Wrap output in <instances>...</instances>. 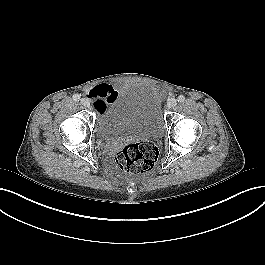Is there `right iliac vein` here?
<instances>
[{
    "label": "right iliac vein",
    "instance_id": "obj_1",
    "mask_svg": "<svg viewBox=\"0 0 265 265\" xmlns=\"http://www.w3.org/2000/svg\"><path fill=\"white\" fill-rule=\"evenodd\" d=\"M80 103L85 106V107H89L90 106V101L87 98H82L80 100Z\"/></svg>",
    "mask_w": 265,
    "mask_h": 265
}]
</instances>
